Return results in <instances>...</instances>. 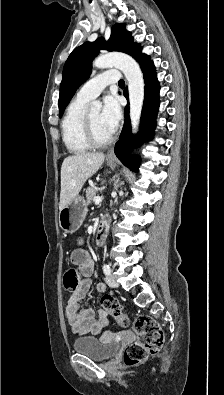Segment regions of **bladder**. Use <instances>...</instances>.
<instances>
[{"mask_svg": "<svg viewBox=\"0 0 224 395\" xmlns=\"http://www.w3.org/2000/svg\"><path fill=\"white\" fill-rule=\"evenodd\" d=\"M76 353L83 354L95 361H106L117 353L116 345L102 337H79L73 342Z\"/></svg>", "mask_w": 224, "mask_h": 395, "instance_id": "31cf9c89", "label": "bladder"}]
</instances>
